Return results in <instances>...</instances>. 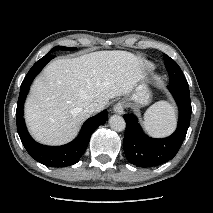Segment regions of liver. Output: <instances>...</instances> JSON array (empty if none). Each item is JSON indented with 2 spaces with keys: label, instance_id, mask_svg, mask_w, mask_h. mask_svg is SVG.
Returning a JSON list of instances; mask_svg holds the SVG:
<instances>
[{
  "label": "liver",
  "instance_id": "obj_1",
  "mask_svg": "<svg viewBox=\"0 0 213 213\" xmlns=\"http://www.w3.org/2000/svg\"><path fill=\"white\" fill-rule=\"evenodd\" d=\"M142 60L126 51H98L58 59L34 80L25 103L31 135L48 145L71 141L90 114L85 108L129 95L141 79Z\"/></svg>",
  "mask_w": 213,
  "mask_h": 213
}]
</instances>
